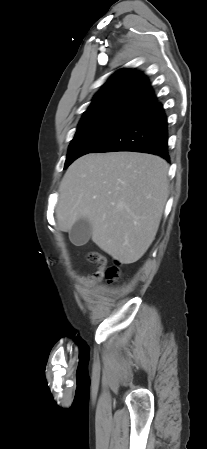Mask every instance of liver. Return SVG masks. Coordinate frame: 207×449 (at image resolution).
<instances>
[{"mask_svg": "<svg viewBox=\"0 0 207 449\" xmlns=\"http://www.w3.org/2000/svg\"><path fill=\"white\" fill-rule=\"evenodd\" d=\"M168 168L164 159L144 153L80 157L60 183L58 228L70 231L85 218L100 249L122 264L138 261L159 228L168 198Z\"/></svg>", "mask_w": 207, "mask_h": 449, "instance_id": "1", "label": "liver"}]
</instances>
